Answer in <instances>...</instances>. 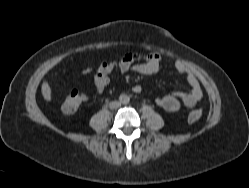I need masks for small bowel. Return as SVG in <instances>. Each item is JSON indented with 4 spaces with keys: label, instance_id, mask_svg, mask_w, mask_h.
Segmentation results:
<instances>
[{
    "label": "small bowel",
    "instance_id": "1",
    "mask_svg": "<svg viewBox=\"0 0 249 188\" xmlns=\"http://www.w3.org/2000/svg\"><path fill=\"white\" fill-rule=\"evenodd\" d=\"M161 57L156 53H143L139 51L127 52L120 61L102 62L93 77L94 87L97 94L103 93L110 82L113 73H125L134 71L141 75H155L160 71ZM178 73L184 75L190 86L188 92H174L155 99L157 106L167 112H176L182 106L193 107L203 97V92L196 75L182 62L175 64Z\"/></svg>",
    "mask_w": 249,
    "mask_h": 188
}]
</instances>
